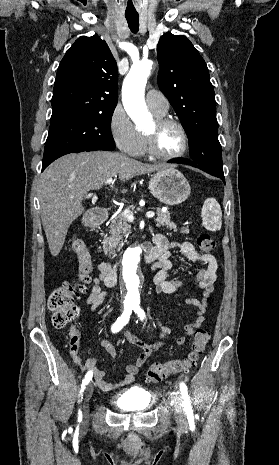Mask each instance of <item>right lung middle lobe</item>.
Segmentation results:
<instances>
[{
    "mask_svg": "<svg viewBox=\"0 0 279 465\" xmlns=\"http://www.w3.org/2000/svg\"><path fill=\"white\" fill-rule=\"evenodd\" d=\"M114 109L50 124L42 165L87 146H115L110 122Z\"/></svg>",
    "mask_w": 279,
    "mask_h": 465,
    "instance_id": "1",
    "label": "right lung middle lobe"
}]
</instances>
